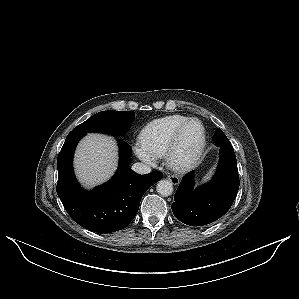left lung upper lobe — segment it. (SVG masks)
I'll return each mask as SVG.
<instances>
[{
    "instance_id": "1",
    "label": "left lung upper lobe",
    "mask_w": 299,
    "mask_h": 299,
    "mask_svg": "<svg viewBox=\"0 0 299 299\" xmlns=\"http://www.w3.org/2000/svg\"><path fill=\"white\" fill-rule=\"evenodd\" d=\"M214 141L215 142H221V143H225V144H229V140L226 137V135L223 133V131L221 129H217L214 135Z\"/></svg>"
}]
</instances>
